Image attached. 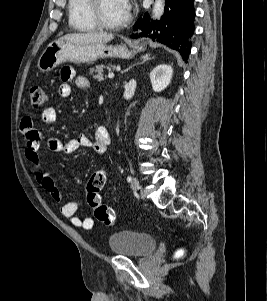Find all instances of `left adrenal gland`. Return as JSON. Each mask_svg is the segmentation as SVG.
I'll use <instances>...</instances> for the list:
<instances>
[{
  "instance_id": "a2214340",
  "label": "left adrenal gland",
  "mask_w": 267,
  "mask_h": 301,
  "mask_svg": "<svg viewBox=\"0 0 267 301\" xmlns=\"http://www.w3.org/2000/svg\"><path fill=\"white\" fill-rule=\"evenodd\" d=\"M141 59L142 61L137 63V64H134V65H131L130 67H128L126 70H124V72H127L128 70H130L132 67H134L135 65H139V64H143L151 59H153V57H151L149 54H146V55H143L141 56Z\"/></svg>"
}]
</instances>
